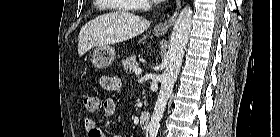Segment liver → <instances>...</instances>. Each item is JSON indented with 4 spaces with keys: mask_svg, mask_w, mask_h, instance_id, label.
Masks as SVG:
<instances>
[{
    "mask_svg": "<svg viewBox=\"0 0 280 137\" xmlns=\"http://www.w3.org/2000/svg\"><path fill=\"white\" fill-rule=\"evenodd\" d=\"M149 26L150 21L125 11L100 15L81 28L78 38V54L83 56L93 47L127 41L142 34Z\"/></svg>",
    "mask_w": 280,
    "mask_h": 137,
    "instance_id": "6515ba94",
    "label": "liver"
}]
</instances>
